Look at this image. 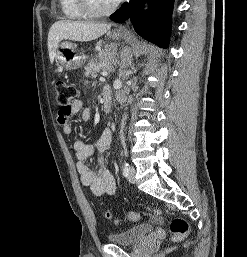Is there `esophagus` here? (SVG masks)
I'll return each instance as SVG.
<instances>
[{"mask_svg": "<svg viewBox=\"0 0 247 257\" xmlns=\"http://www.w3.org/2000/svg\"><path fill=\"white\" fill-rule=\"evenodd\" d=\"M124 30H125L124 27H119V28L116 29V31H124Z\"/></svg>", "mask_w": 247, "mask_h": 257, "instance_id": "obj_1", "label": "esophagus"}]
</instances>
